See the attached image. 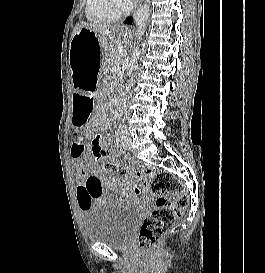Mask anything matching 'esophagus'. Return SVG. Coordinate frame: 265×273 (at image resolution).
I'll return each instance as SVG.
<instances>
[{
    "label": "esophagus",
    "mask_w": 265,
    "mask_h": 273,
    "mask_svg": "<svg viewBox=\"0 0 265 273\" xmlns=\"http://www.w3.org/2000/svg\"><path fill=\"white\" fill-rule=\"evenodd\" d=\"M143 0H138L137 1V5L136 7L142 2ZM136 7L133 11V13L130 15V16H126L122 21H121V24L125 27H130L133 25L134 23V13H135V10H136Z\"/></svg>",
    "instance_id": "obj_1"
}]
</instances>
